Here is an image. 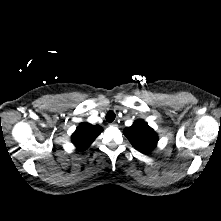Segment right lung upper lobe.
Returning <instances> with one entry per match:
<instances>
[{"mask_svg": "<svg viewBox=\"0 0 221 221\" xmlns=\"http://www.w3.org/2000/svg\"><path fill=\"white\" fill-rule=\"evenodd\" d=\"M101 132V126L83 122L72 134V142L78 150H86Z\"/></svg>", "mask_w": 221, "mask_h": 221, "instance_id": "right-lung-upper-lobe-1", "label": "right lung upper lobe"}]
</instances>
